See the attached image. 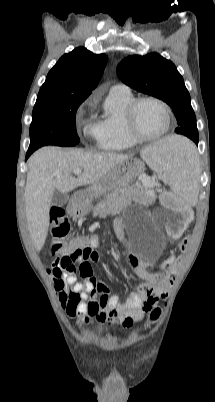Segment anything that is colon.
Segmentation results:
<instances>
[{"instance_id": "obj_1", "label": "colon", "mask_w": 215, "mask_h": 402, "mask_svg": "<svg viewBox=\"0 0 215 402\" xmlns=\"http://www.w3.org/2000/svg\"><path fill=\"white\" fill-rule=\"evenodd\" d=\"M51 231L53 241L50 246V255L55 260L56 269H64L66 271H77L76 264L83 258L80 250L86 249V235H75L68 241H61L69 232L70 224L64 211L55 208L50 213ZM194 238L189 233L185 234L184 239L179 240L176 251L178 254H185L187 251V243H192ZM180 264V260H174L168 263L166 270L173 272ZM87 265H80L79 271H87ZM160 316V309H154L150 314V320L156 321Z\"/></svg>"}]
</instances>
